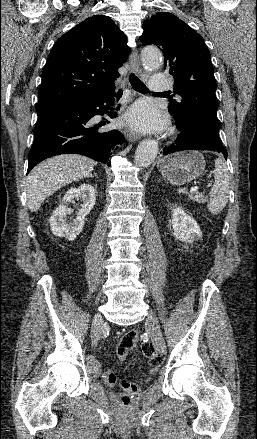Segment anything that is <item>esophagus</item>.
<instances>
[{"instance_id":"obj_1","label":"esophagus","mask_w":257,"mask_h":439,"mask_svg":"<svg viewBox=\"0 0 257 439\" xmlns=\"http://www.w3.org/2000/svg\"><path fill=\"white\" fill-rule=\"evenodd\" d=\"M129 64H130V69L131 71L135 72V73H139L140 69H139V56H138V52L136 49H133L130 57H129ZM124 134L125 137L130 140V141H137L139 139V136L130 130H124Z\"/></svg>"}]
</instances>
